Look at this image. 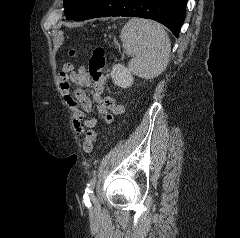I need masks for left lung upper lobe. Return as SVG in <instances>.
Returning a JSON list of instances; mask_svg holds the SVG:
<instances>
[{
    "mask_svg": "<svg viewBox=\"0 0 240 238\" xmlns=\"http://www.w3.org/2000/svg\"><path fill=\"white\" fill-rule=\"evenodd\" d=\"M91 0H64L67 19H74L82 13Z\"/></svg>",
    "mask_w": 240,
    "mask_h": 238,
    "instance_id": "1",
    "label": "left lung upper lobe"
}]
</instances>
